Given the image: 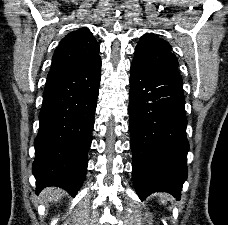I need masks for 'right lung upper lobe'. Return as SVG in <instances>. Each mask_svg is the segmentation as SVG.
Returning <instances> with one entry per match:
<instances>
[{
	"label": "right lung upper lobe",
	"instance_id": "right-lung-upper-lobe-1",
	"mask_svg": "<svg viewBox=\"0 0 228 225\" xmlns=\"http://www.w3.org/2000/svg\"><path fill=\"white\" fill-rule=\"evenodd\" d=\"M99 45L87 28L72 31L59 43L50 72L72 69L99 56Z\"/></svg>",
	"mask_w": 228,
	"mask_h": 225
}]
</instances>
